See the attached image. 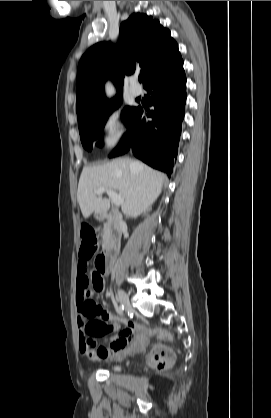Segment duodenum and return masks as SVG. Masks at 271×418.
<instances>
[{"label": "duodenum", "mask_w": 271, "mask_h": 418, "mask_svg": "<svg viewBox=\"0 0 271 418\" xmlns=\"http://www.w3.org/2000/svg\"><path fill=\"white\" fill-rule=\"evenodd\" d=\"M97 217L100 220H105L107 223L105 245L102 253L97 258L99 269L102 270V273H106L116 261L121 236L124 233V226L115 212L100 213Z\"/></svg>", "instance_id": "obj_1"}]
</instances>
